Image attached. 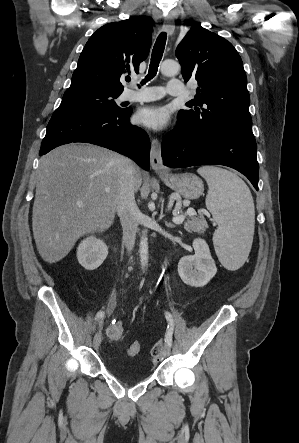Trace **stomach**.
<instances>
[{"mask_svg": "<svg viewBox=\"0 0 299 443\" xmlns=\"http://www.w3.org/2000/svg\"><path fill=\"white\" fill-rule=\"evenodd\" d=\"M160 178L169 188L186 199H197L203 194V181L194 174L161 173Z\"/></svg>", "mask_w": 299, "mask_h": 443, "instance_id": "obj_1", "label": "stomach"}]
</instances>
